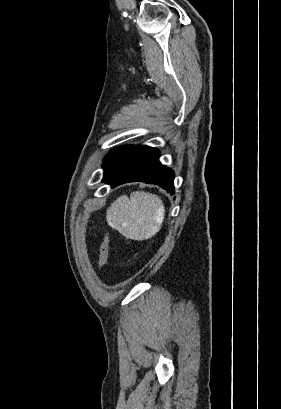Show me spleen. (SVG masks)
<instances>
[{
  "instance_id": "3e777b00",
  "label": "spleen",
  "mask_w": 281,
  "mask_h": 409,
  "mask_svg": "<svg viewBox=\"0 0 281 409\" xmlns=\"http://www.w3.org/2000/svg\"><path fill=\"white\" fill-rule=\"evenodd\" d=\"M165 219V207L157 194L135 190L130 198L122 194L111 202L106 213L109 227L126 239L146 241L159 233Z\"/></svg>"
}]
</instances>
